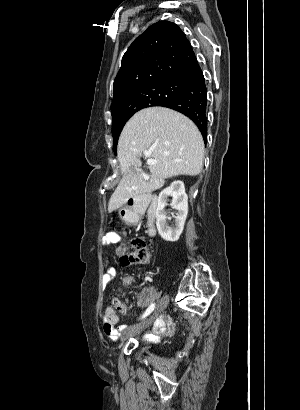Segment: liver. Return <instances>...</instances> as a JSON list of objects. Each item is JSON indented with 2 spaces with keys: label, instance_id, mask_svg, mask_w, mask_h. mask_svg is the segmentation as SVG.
I'll return each mask as SVG.
<instances>
[{
  "label": "liver",
  "instance_id": "liver-1",
  "mask_svg": "<svg viewBox=\"0 0 300 410\" xmlns=\"http://www.w3.org/2000/svg\"><path fill=\"white\" fill-rule=\"evenodd\" d=\"M150 152V176L135 173L140 157ZM117 156L123 177L112 194L108 212L130 198L161 188L165 179L178 175H198L203 166L204 142L196 125L183 114L164 107L146 108L136 113L119 137ZM146 157V156H145Z\"/></svg>",
  "mask_w": 300,
  "mask_h": 410
}]
</instances>
